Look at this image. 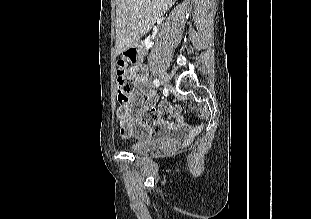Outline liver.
Segmentation results:
<instances>
[{"label":"liver","mask_w":311,"mask_h":219,"mask_svg":"<svg viewBox=\"0 0 311 219\" xmlns=\"http://www.w3.org/2000/svg\"><path fill=\"white\" fill-rule=\"evenodd\" d=\"M176 0H116V55L147 33Z\"/></svg>","instance_id":"6515ba94"}]
</instances>
